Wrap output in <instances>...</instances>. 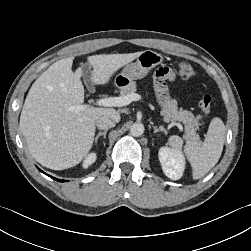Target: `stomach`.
Returning a JSON list of instances; mask_svg holds the SVG:
<instances>
[{"label":"stomach","instance_id":"stomach-1","mask_svg":"<svg viewBox=\"0 0 251 251\" xmlns=\"http://www.w3.org/2000/svg\"><path fill=\"white\" fill-rule=\"evenodd\" d=\"M163 57L161 54L152 50H145L136 58V62L128 63L124 66L121 73L115 77V84L118 87H125L131 81L142 79L149 71L161 64Z\"/></svg>","mask_w":251,"mask_h":251}]
</instances>
